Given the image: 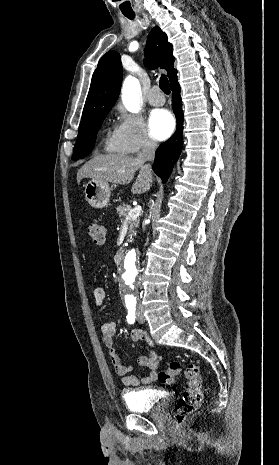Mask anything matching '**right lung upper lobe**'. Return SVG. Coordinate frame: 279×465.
I'll return each instance as SVG.
<instances>
[{
  "label": "right lung upper lobe",
  "mask_w": 279,
  "mask_h": 465,
  "mask_svg": "<svg viewBox=\"0 0 279 465\" xmlns=\"http://www.w3.org/2000/svg\"><path fill=\"white\" fill-rule=\"evenodd\" d=\"M145 57L147 67L166 69L170 84L177 81V70L173 68L175 58L172 44L158 26L154 27L148 35ZM122 75L119 53L107 52L100 59L93 73L80 126L89 123L102 111L111 109L119 95Z\"/></svg>",
  "instance_id": "cb5924a9"
}]
</instances>
